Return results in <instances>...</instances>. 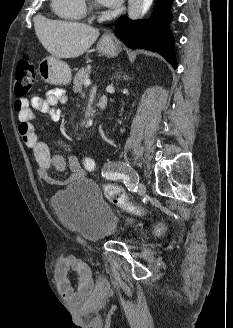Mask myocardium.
I'll list each match as a JSON object with an SVG mask.
<instances>
[{
	"mask_svg": "<svg viewBox=\"0 0 233 328\" xmlns=\"http://www.w3.org/2000/svg\"><path fill=\"white\" fill-rule=\"evenodd\" d=\"M92 6H93L94 8H98V6L96 5V3H94V2H92Z\"/></svg>",
	"mask_w": 233,
	"mask_h": 328,
	"instance_id": "1",
	"label": "myocardium"
}]
</instances>
